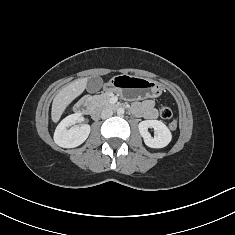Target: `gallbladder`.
<instances>
[{
  "instance_id": "obj_1",
  "label": "gallbladder",
  "mask_w": 235,
  "mask_h": 235,
  "mask_svg": "<svg viewBox=\"0 0 235 235\" xmlns=\"http://www.w3.org/2000/svg\"><path fill=\"white\" fill-rule=\"evenodd\" d=\"M103 85V80L102 78L95 76V77H90L87 81V86L86 89L90 93L97 92L100 90V88Z\"/></svg>"
}]
</instances>
